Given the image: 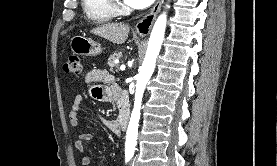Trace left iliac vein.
I'll return each instance as SVG.
<instances>
[{"instance_id":"1","label":"left iliac vein","mask_w":277,"mask_h":166,"mask_svg":"<svg viewBox=\"0 0 277 166\" xmlns=\"http://www.w3.org/2000/svg\"><path fill=\"white\" fill-rule=\"evenodd\" d=\"M130 166H136V165H135V163H134V161L131 163V165H130Z\"/></svg>"}]
</instances>
